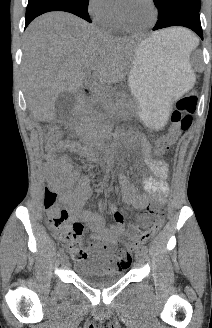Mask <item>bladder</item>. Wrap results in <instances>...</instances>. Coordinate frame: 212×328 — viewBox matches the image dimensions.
<instances>
[{
  "label": "bladder",
  "mask_w": 212,
  "mask_h": 328,
  "mask_svg": "<svg viewBox=\"0 0 212 328\" xmlns=\"http://www.w3.org/2000/svg\"><path fill=\"white\" fill-rule=\"evenodd\" d=\"M77 277L93 288H105L119 282L123 276L122 270L101 271L95 261L79 260L74 264Z\"/></svg>",
  "instance_id": "obj_1"
}]
</instances>
